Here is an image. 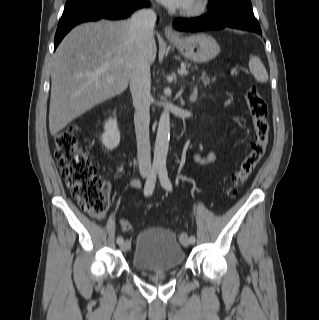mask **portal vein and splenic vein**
<instances>
[{"label": "portal vein and splenic vein", "instance_id": "1", "mask_svg": "<svg viewBox=\"0 0 319 320\" xmlns=\"http://www.w3.org/2000/svg\"><path fill=\"white\" fill-rule=\"evenodd\" d=\"M178 73L181 75H187L188 71L186 70V68L184 66H182L181 69L178 70ZM112 79H113V77H108V80H112Z\"/></svg>", "mask_w": 319, "mask_h": 320}]
</instances>
